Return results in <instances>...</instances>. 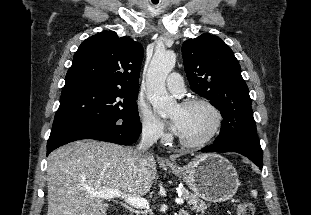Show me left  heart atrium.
Masks as SVG:
<instances>
[{"label":"left heart atrium","mask_w":311,"mask_h":215,"mask_svg":"<svg viewBox=\"0 0 311 215\" xmlns=\"http://www.w3.org/2000/svg\"><path fill=\"white\" fill-rule=\"evenodd\" d=\"M170 128L175 134L179 135L181 130L180 121L178 119H172V121L170 122Z\"/></svg>","instance_id":"1"}]
</instances>
